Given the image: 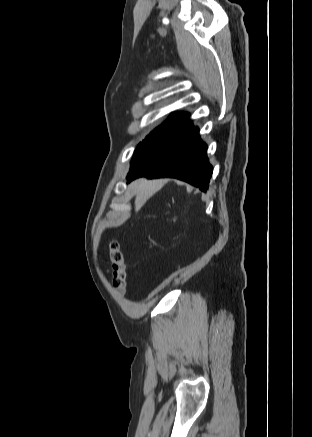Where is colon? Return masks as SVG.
<instances>
[{
	"mask_svg": "<svg viewBox=\"0 0 312 437\" xmlns=\"http://www.w3.org/2000/svg\"><path fill=\"white\" fill-rule=\"evenodd\" d=\"M108 258L111 264L113 287L120 293H125L127 285L125 259L118 242L112 241L109 244Z\"/></svg>",
	"mask_w": 312,
	"mask_h": 437,
	"instance_id": "obj_1",
	"label": "colon"
}]
</instances>
